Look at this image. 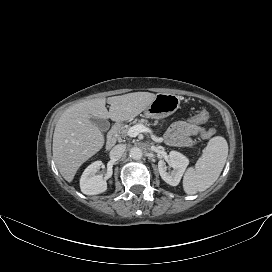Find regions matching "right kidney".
<instances>
[{"label":"right kidney","mask_w":272,"mask_h":272,"mask_svg":"<svg viewBox=\"0 0 272 272\" xmlns=\"http://www.w3.org/2000/svg\"><path fill=\"white\" fill-rule=\"evenodd\" d=\"M102 164V161H95L84 170L80 179L82 193L86 195H96L107 190L106 180L102 175L96 174Z\"/></svg>","instance_id":"obj_1"}]
</instances>
